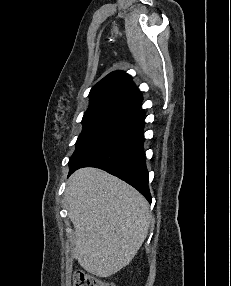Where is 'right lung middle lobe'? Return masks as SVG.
<instances>
[{
	"mask_svg": "<svg viewBox=\"0 0 231 286\" xmlns=\"http://www.w3.org/2000/svg\"><path fill=\"white\" fill-rule=\"evenodd\" d=\"M137 116V111L117 105L89 107L83 116V130L69 164L76 162L86 151L123 123Z\"/></svg>",
	"mask_w": 231,
	"mask_h": 286,
	"instance_id": "1",
	"label": "right lung middle lobe"
}]
</instances>
